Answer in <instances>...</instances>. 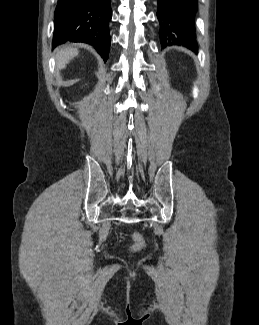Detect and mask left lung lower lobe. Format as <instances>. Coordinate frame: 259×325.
<instances>
[{
  "label": "left lung lower lobe",
  "instance_id": "1",
  "mask_svg": "<svg viewBox=\"0 0 259 325\" xmlns=\"http://www.w3.org/2000/svg\"><path fill=\"white\" fill-rule=\"evenodd\" d=\"M157 2L162 46L184 45L196 50L198 48L195 27L197 0H157Z\"/></svg>",
  "mask_w": 259,
  "mask_h": 325
}]
</instances>
